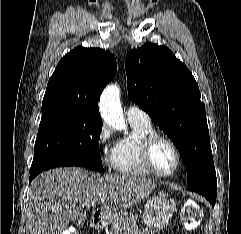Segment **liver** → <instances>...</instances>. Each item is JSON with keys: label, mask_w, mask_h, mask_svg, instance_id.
<instances>
[{"label": "liver", "mask_w": 241, "mask_h": 234, "mask_svg": "<svg viewBox=\"0 0 241 234\" xmlns=\"http://www.w3.org/2000/svg\"><path fill=\"white\" fill-rule=\"evenodd\" d=\"M157 184L136 175H100L79 167L41 173L30 185L35 221L33 234H62L75 222L77 212L105 197L108 219L147 197Z\"/></svg>", "instance_id": "liver-1"}]
</instances>
